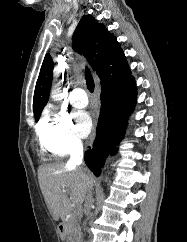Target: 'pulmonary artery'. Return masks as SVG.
I'll return each instance as SVG.
<instances>
[{"instance_id": "pulmonary-artery-1", "label": "pulmonary artery", "mask_w": 187, "mask_h": 242, "mask_svg": "<svg viewBox=\"0 0 187 242\" xmlns=\"http://www.w3.org/2000/svg\"><path fill=\"white\" fill-rule=\"evenodd\" d=\"M70 102L74 107L84 108L88 104L86 92L82 88H75L70 94Z\"/></svg>"}]
</instances>
